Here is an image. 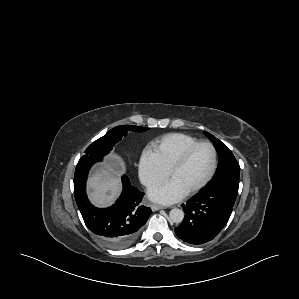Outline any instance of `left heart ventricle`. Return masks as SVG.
<instances>
[{
	"label": "left heart ventricle",
	"instance_id": "b2bd125f",
	"mask_svg": "<svg viewBox=\"0 0 299 299\" xmlns=\"http://www.w3.org/2000/svg\"><path fill=\"white\" fill-rule=\"evenodd\" d=\"M213 153L209 146L202 145L195 149L187 162L172 176V180L185 191L199 184L210 172Z\"/></svg>",
	"mask_w": 299,
	"mask_h": 299
}]
</instances>
